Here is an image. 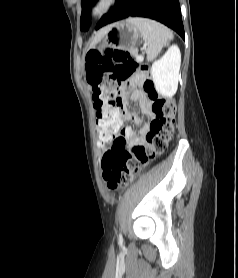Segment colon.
I'll return each instance as SVG.
<instances>
[{"label": "colon", "mask_w": 238, "mask_h": 278, "mask_svg": "<svg viewBox=\"0 0 238 278\" xmlns=\"http://www.w3.org/2000/svg\"><path fill=\"white\" fill-rule=\"evenodd\" d=\"M86 78L93 90L98 124L105 136L115 135L122 124L121 84L139 79L148 98L152 101L154 119L146 135V144L128 151V144H112L102 158L103 176L110 189H118L132 182L140 169L163 154L174 132L176 105L170 98L161 96L150 77L149 67L138 64L125 50L92 49L86 56ZM98 149H105L104 141L96 142Z\"/></svg>", "instance_id": "colon-1"}]
</instances>
